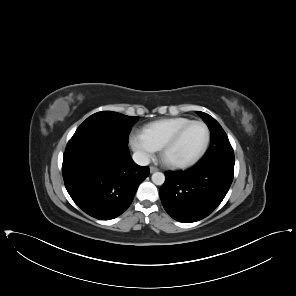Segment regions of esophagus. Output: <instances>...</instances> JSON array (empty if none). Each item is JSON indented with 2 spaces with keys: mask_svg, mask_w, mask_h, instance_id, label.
<instances>
[{
  "mask_svg": "<svg viewBox=\"0 0 296 296\" xmlns=\"http://www.w3.org/2000/svg\"><path fill=\"white\" fill-rule=\"evenodd\" d=\"M158 171V168L154 167V166H150V173H154Z\"/></svg>",
  "mask_w": 296,
  "mask_h": 296,
  "instance_id": "1",
  "label": "esophagus"
}]
</instances>
